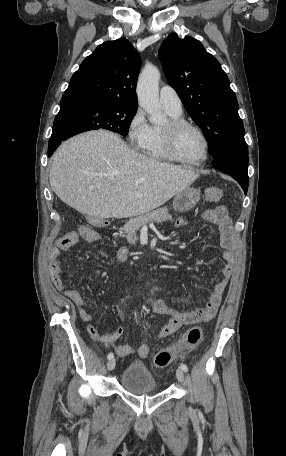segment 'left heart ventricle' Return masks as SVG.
Listing matches in <instances>:
<instances>
[{
    "label": "left heart ventricle",
    "mask_w": 286,
    "mask_h": 456,
    "mask_svg": "<svg viewBox=\"0 0 286 456\" xmlns=\"http://www.w3.org/2000/svg\"><path fill=\"white\" fill-rule=\"evenodd\" d=\"M175 151L185 160H198L204 155V143L197 131L184 128L176 134Z\"/></svg>",
    "instance_id": "obj_1"
}]
</instances>
